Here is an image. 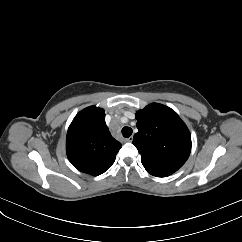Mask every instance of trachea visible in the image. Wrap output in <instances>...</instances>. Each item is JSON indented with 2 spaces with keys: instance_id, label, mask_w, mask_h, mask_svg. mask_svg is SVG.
Segmentation results:
<instances>
[{
  "instance_id": "obj_1",
  "label": "trachea",
  "mask_w": 242,
  "mask_h": 242,
  "mask_svg": "<svg viewBox=\"0 0 242 242\" xmlns=\"http://www.w3.org/2000/svg\"><path fill=\"white\" fill-rule=\"evenodd\" d=\"M132 132H133L132 128L127 127V126L123 127V129H122V135L125 138H129L132 135Z\"/></svg>"
}]
</instances>
